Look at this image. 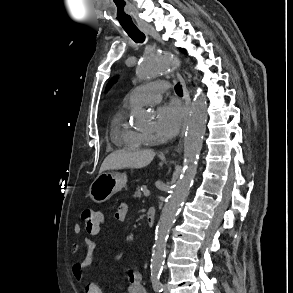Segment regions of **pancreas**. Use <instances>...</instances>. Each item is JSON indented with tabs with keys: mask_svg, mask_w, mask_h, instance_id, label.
I'll return each instance as SVG.
<instances>
[{
	"mask_svg": "<svg viewBox=\"0 0 293 293\" xmlns=\"http://www.w3.org/2000/svg\"><path fill=\"white\" fill-rule=\"evenodd\" d=\"M133 196H134L135 198H141V196H142V192L140 191V187H139V186L136 188V191H135V193L133 194Z\"/></svg>",
	"mask_w": 293,
	"mask_h": 293,
	"instance_id": "pancreas-1",
	"label": "pancreas"
}]
</instances>
